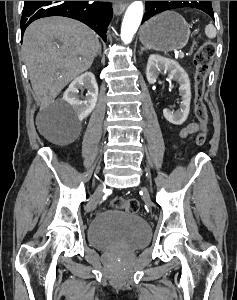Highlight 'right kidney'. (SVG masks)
<instances>
[{"label": "right kidney", "instance_id": "1", "mask_svg": "<svg viewBox=\"0 0 237 300\" xmlns=\"http://www.w3.org/2000/svg\"><path fill=\"white\" fill-rule=\"evenodd\" d=\"M87 89L86 97H82L79 91ZM98 85L93 73H84L72 81L67 91L63 95L64 101H67L73 107L79 121L86 119L97 103Z\"/></svg>", "mask_w": 237, "mask_h": 300}]
</instances>
